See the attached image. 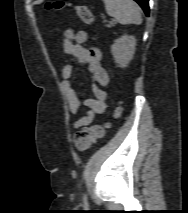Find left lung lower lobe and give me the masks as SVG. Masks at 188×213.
I'll return each mask as SVG.
<instances>
[{"label": "left lung lower lobe", "instance_id": "0a47b994", "mask_svg": "<svg viewBox=\"0 0 188 213\" xmlns=\"http://www.w3.org/2000/svg\"><path fill=\"white\" fill-rule=\"evenodd\" d=\"M144 10V12L146 13V15H149V5L148 2L149 0H135Z\"/></svg>", "mask_w": 188, "mask_h": 213}]
</instances>
